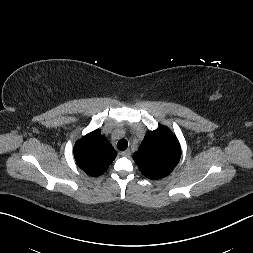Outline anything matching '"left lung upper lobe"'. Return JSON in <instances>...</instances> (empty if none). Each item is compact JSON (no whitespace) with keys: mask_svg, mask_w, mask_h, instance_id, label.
Here are the masks:
<instances>
[{"mask_svg":"<svg viewBox=\"0 0 253 253\" xmlns=\"http://www.w3.org/2000/svg\"><path fill=\"white\" fill-rule=\"evenodd\" d=\"M180 156L181 149L176 136L168 128L160 127L145 135L133 158L141 173L155 180L169 175Z\"/></svg>","mask_w":253,"mask_h":253,"instance_id":"1","label":"left lung upper lobe"}]
</instances>
